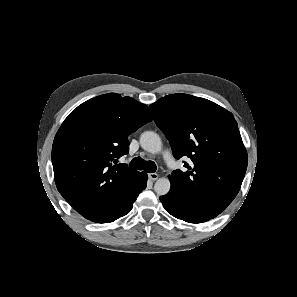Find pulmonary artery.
<instances>
[{"label":"pulmonary artery","mask_w":297,"mask_h":297,"mask_svg":"<svg viewBox=\"0 0 297 297\" xmlns=\"http://www.w3.org/2000/svg\"><path fill=\"white\" fill-rule=\"evenodd\" d=\"M164 158L167 162H169L171 160V155L169 152H166L165 155H164Z\"/></svg>","instance_id":"1"}]
</instances>
